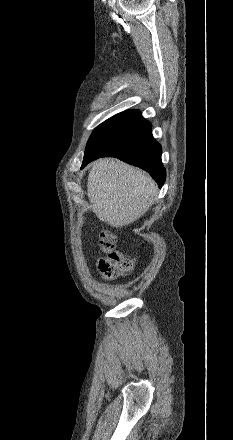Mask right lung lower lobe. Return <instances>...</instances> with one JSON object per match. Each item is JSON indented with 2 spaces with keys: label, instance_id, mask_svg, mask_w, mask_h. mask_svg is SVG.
Returning a JSON list of instances; mask_svg holds the SVG:
<instances>
[{
  "label": "right lung lower lobe",
  "instance_id": "98d812e1",
  "mask_svg": "<svg viewBox=\"0 0 233 440\" xmlns=\"http://www.w3.org/2000/svg\"><path fill=\"white\" fill-rule=\"evenodd\" d=\"M161 154V146L152 136L150 122L138 110H127L108 119L93 131L82 167L99 157H116L146 170L162 187L166 172Z\"/></svg>",
  "mask_w": 233,
  "mask_h": 440
}]
</instances>
